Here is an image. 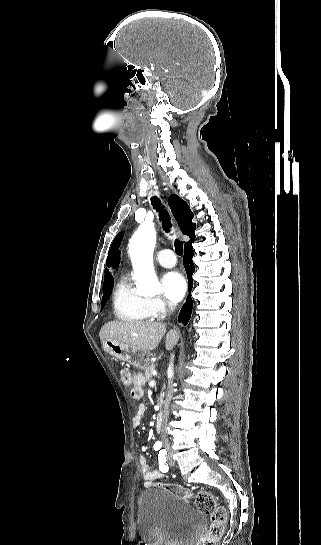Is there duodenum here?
Returning <instances> with one entry per match:
<instances>
[{"label":"duodenum","instance_id":"obj_1","mask_svg":"<svg viewBox=\"0 0 321 545\" xmlns=\"http://www.w3.org/2000/svg\"><path fill=\"white\" fill-rule=\"evenodd\" d=\"M164 421V415L162 412H160L156 418V430L157 432H161L162 426Z\"/></svg>","mask_w":321,"mask_h":545}]
</instances>
